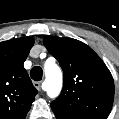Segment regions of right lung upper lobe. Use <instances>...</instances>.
Wrapping results in <instances>:
<instances>
[{"label": "right lung upper lobe", "mask_w": 119, "mask_h": 119, "mask_svg": "<svg viewBox=\"0 0 119 119\" xmlns=\"http://www.w3.org/2000/svg\"><path fill=\"white\" fill-rule=\"evenodd\" d=\"M34 40L0 42V119H25L38 93L23 66Z\"/></svg>", "instance_id": "cb5924a9"}]
</instances>
